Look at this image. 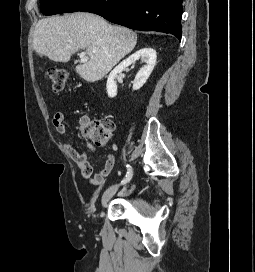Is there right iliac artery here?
Returning <instances> with one entry per match:
<instances>
[{"instance_id":"obj_1","label":"right iliac artery","mask_w":255,"mask_h":272,"mask_svg":"<svg viewBox=\"0 0 255 272\" xmlns=\"http://www.w3.org/2000/svg\"><path fill=\"white\" fill-rule=\"evenodd\" d=\"M126 167H127V174H126L125 178L121 181V184L128 183L133 176V171H132L131 166L129 164H127Z\"/></svg>"}]
</instances>
